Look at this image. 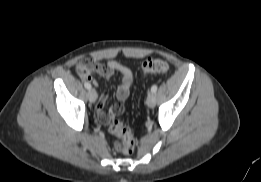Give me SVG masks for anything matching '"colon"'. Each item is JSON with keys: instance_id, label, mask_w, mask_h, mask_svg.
<instances>
[{"instance_id": "colon-1", "label": "colon", "mask_w": 261, "mask_h": 182, "mask_svg": "<svg viewBox=\"0 0 261 182\" xmlns=\"http://www.w3.org/2000/svg\"><path fill=\"white\" fill-rule=\"evenodd\" d=\"M76 69L80 75L89 74L88 67L85 64L79 63ZM168 69L169 64L158 58L146 59L142 64L143 74L165 73ZM108 128L112 134L119 138V140L114 143V150L125 155L132 154L135 150L136 142L131 130L118 119H112Z\"/></svg>"}]
</instances>
